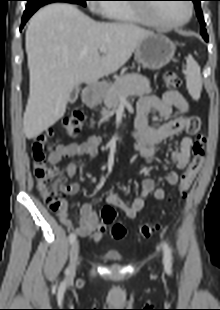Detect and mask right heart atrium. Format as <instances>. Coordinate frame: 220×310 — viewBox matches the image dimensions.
Segmentation results:
<instances>
[{"instance_id": "d8ad5b80", "label": "right heart atrium", "mask_w": 220, "mask_h": 310, "mask_svg": "<svg viewBox=\"0 0 220 310\" xmlns=\"http://www.w3.org/2000/svg\"><path fill=\"white\" fill-rule=\"evenodd\" d=\"M100 12H102L101 10H102V6H97L96 7Z\"/></svg>"}]
</instances>
